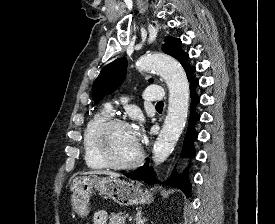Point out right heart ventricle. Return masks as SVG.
<instances>
[{
  "label": "right heart ventricle",
  "instance_id": "1",
  "mask_svg": "<svg viewBox=\"0 0 275 224\" xmlns=\"http://www.w3.org/2000/svg\"><path fill=\"white\" fill-rule=\"evenodd\" d=\"M109 118L108 112L100 111L94 114L87 122L83 133L84 161L88 168L93 170L106 169L108 166L98 155L94 145V135L101 123Z\"/></svg>",
  "mask_w": 275,
  "mask_h": 224
}]
</instances>
